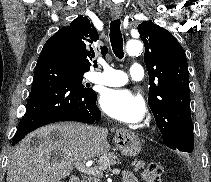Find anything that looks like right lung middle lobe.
<instances>
[{
	"instance_id": "right-lung-middle-lobe-1",
	"label": "right lung middle lobe",
	"mask_w": 211,
	"mask_h": 182,
	"mask_svg": "<svg viewBox=\"0 0 211 182\" xmlns=\"http://www.w3.org/2000/svg\"><path fill=\"white\" fill-rule=\"evenodd\" d=\"M85 72H86V70H83V69H80V68L77 67L76 74H77L78 80H79L80 82H82V80H83V74H84ZM83 85H84L85 90H87V91H92V89H89V88H88V87L90 86L89 84H84V83H83Z\"/></svg>"
}]
</instances>
